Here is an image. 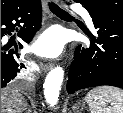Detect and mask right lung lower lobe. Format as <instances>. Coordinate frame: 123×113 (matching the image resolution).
<instances>
[{"instance_id": "right-lung-lower-lobe-1", "label": "right lung lower lobe", "mask_w": 123, "mask_h": 113, "mask_svg": "<svg viewBox=\"0 0 123 113\" xmlns=\"http://www.w3.org/2000/svg\"><path fill=\"white\" fill-rule=\"evenodd\" d=\"M14 21L16 24L13 23ZM22 22L26 23L18 36L29 43L41 26L40 0L30 1L19 8L1 13V38L14 31L15 26ZM19 47L22 48V45L20 44ZM22 68L24 64L22 57L17 53V45L15 49L10 50L9 47L1 45V88L21 73Z\"/></svg>"}]
</instances>
